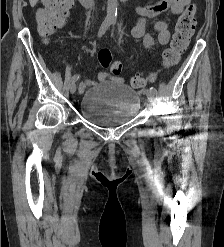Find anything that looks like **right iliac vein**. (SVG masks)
<instances>
[{
    "label": "right iliac vein",
    "mask_w": 224,
    "mask_h": 247,
    "mask_svg": "<svg viewBox=\"0 0 224 247\" xmlns=\"http://www.w3.org/2000/svg\"><path fill=\"white\" fill-rule=\"evenodd\" d=\"M75 91H76V83L72 82L71 85H70V93L74 94Z\"/></svg>",
    "instance_id": "obj_1"
}]
</instances>
